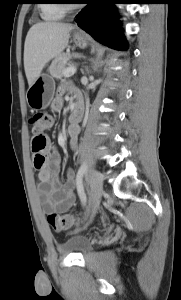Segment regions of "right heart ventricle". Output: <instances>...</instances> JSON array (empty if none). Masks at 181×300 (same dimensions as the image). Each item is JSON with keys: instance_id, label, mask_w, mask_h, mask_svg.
Here are the masks:
<instances>
[{"instance_id": "1", "label": "right heart ventricle", "mask_w": 181, "mask_h": 300, "mask_svg": "<svg viewBox=\"0 0 181 300\" xmlns=\"http://www.w3.org/2000/svg\"><path fill=\"white\" fill-rule=\"evenodd\" d=\"M39 7L40 16L43 20L48 22L58 21L65 15V9L57 3V0H43Z\"/></svg>"}]
</instances>
